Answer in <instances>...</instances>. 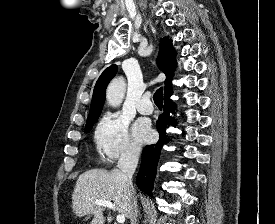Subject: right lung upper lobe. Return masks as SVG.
<instances>
[{"label":"right lung upper lobe","instance_id":"obj_1","mask_svg":"<svg viewBox=\"0 0 275 224\" xmlns=\"http://www.w3.org/2000/svg\"><path fill=\"white\" fill-rule=\"evenodd\" d=\"M159 46H160V54L158 57V66L166 75L165 91H167L168 89L172 88L171 87L172 73L176 67L175 51L172 46V40L167 39V37L161 39ZM116 72H117V66L111 65L110 67L106 68L103 71V73L100 75L99 79L97 80L94 87V92H93L90 112L87 118V123L98 119L103 108V103L105 101L106 87L109 81L115 76Z\"/></svg>","mask_w":275,"mask_h":224}]
</instances>
